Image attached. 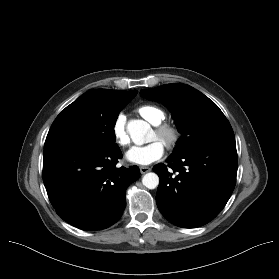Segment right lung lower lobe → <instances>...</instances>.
Here are the masks:
<instances>
[{
	"instance_id": "obj_1",
	"label": "right lung lower lobe",
	"mask_w": 279,
	"mask_h": 279,
	"mask_svg": "<svg viewBox=\"0 0 279 279\" xmlns=\"http://www.w3.org/2000/svg\"><path fill=\"white\" fill-rule=\"evenodd\" d=\"M119 147L100 151L63 145L43 152V181L57 214L83 230L116 223L126 206L125 191L140 176L137 166L117 168Z\"/></svg>"
}]
</instances>
